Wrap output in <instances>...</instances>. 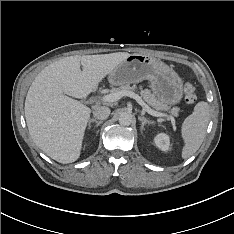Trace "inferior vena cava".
I'll return each mask as SVG.
<instances>
[{
  "mask_svg": "<svg viewBox=\"0 0 234 234\" xmlns=\"http://www.w3.org/2000/svg\"><path fill=\"white\" fill-rule=\"evenodd\" d=\"M110 115V109L105 106H97L93 110V116L98 120H105Z\"/></svg>",
  "mask_w": 234,
  "mask_h": 234,
  "instance_id": "1",
  "label": "inferior vena cava"
}]
</instances>
